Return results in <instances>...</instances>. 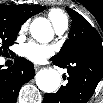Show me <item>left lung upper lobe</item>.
Wrapping results in <instances>:
<instances>
[{
    "mask_svg": "<svg viewBox=\"0 0 103 103\" xmlns=\"http://www.w3.org/2000/svg\"><path fill=\"white\" fill-rule=\"evenodd\" d=\"M72 19L69 38L63 44L60 52L53 58L58 60H68L75 54L90 56L88 47L89 41H100L98 31L76 11L66 8Z\"/></svg>",
    "mask_w": 103,
    "mask_h": 103,
    "instance_id": "5c2ea615",
    "label": "left lung upper lobe"
}]
</instances>
